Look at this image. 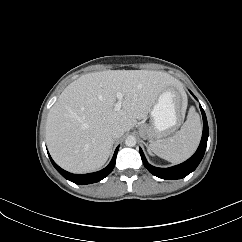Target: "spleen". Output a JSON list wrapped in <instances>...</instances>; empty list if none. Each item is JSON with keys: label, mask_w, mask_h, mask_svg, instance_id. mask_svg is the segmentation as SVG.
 Wrapping results in <instances>:
<instances>
[{"label": "spleen", "mask_w": 242, "mask_h": 242, "mask_svg": "<svg viewBox=\"0 0 242 242\" xmlns=\"http://www.w3.org/2000/svg\"><path fill=\"white\" fill-rule=\"evenodd\" d=\"M201 134L200 117L192 107L181 129L169 138L151 143L149 150L171 163H181L196 151Z\"/></svg>", "instance_id": "obj_1"}]
</instances>
